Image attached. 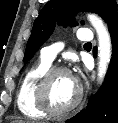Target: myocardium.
<instances>
[{
	"label": "myocardium",
	"mask_w": 118,
	"mask_h": 123,
	"mask_svg": "<svg viewBox=\"0 0 118 123\" xmlns=\"http://www.w3.org/2000/svg\"><path fill=\"white\" fill-rule=\"evenodd\" d=\"M59 73H68L70 71L62 66H52L50 67L41 77L38 88H37V103L40 109H42L47 114L53 116H62L73 109H75L82 100L83 97V89L80 85H77V95L74 100L67 106L63 108H59L55 106L51 100V85L53 82L54 77Z\"/></svg>",
	"instance_id": "1"
}]
</instances>
